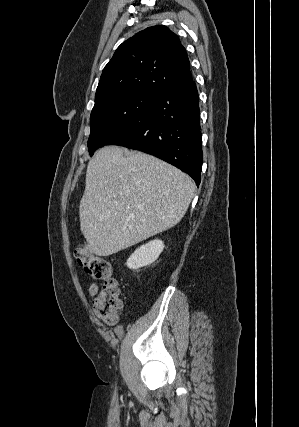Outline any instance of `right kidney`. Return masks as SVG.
I'll use <instances>...</instances> for the list:
<instances>
[{"instance_id":"obj_1","label":"right kidney","mask_w":299,"mask_h":427,"mask_svg":"<svg viewBox=\"0 0 299 427\" xmlns=\"http://www.w3.org/2000/svg\"><path fill=\"white\" fill-rule=\"evenodd\" d=\"M163 249L164 243L161 240H152L136 249L128 258L126 265L132 270L148 266L158 259Z\"/></svg>"}]
</instances>
